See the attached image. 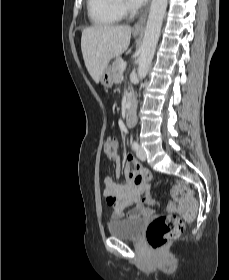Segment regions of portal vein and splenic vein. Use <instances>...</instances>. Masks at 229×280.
I'll return each instance as SVG.
<instances>
[{
  "mask_svg": "<svg viewBox=\"0 0 229 280\" xmlns=\"http://www.w3.org/2000/svg\"><path fill=\"white\" fill-rule=\"evenodd\" d=\"M126 62H123L122 64H121V66H120V69L122 70V71H124L125 70V68H126Z\"/></svg>",
  "mask_w": 229,
  "mask_h": 280,
  "instance_id": "portal-vein-and-splenic-vein-1",
  "label": "portal vein and splenic vein"
}]
</instances>
